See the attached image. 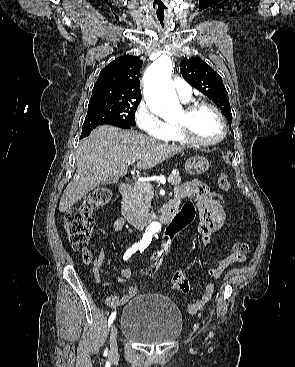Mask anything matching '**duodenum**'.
I'll return each mask as SVG.
<instances>
[{"mask_svg":"<svg viewBox=\"0 0 295 367\" xmlns=\"http://www.w3.org/2000/svg\"><path fill=\"white\" fill-rule=\"evenodd\" d=\"M131 192L129 182H123L119 186V193L122 197V215L123 217L136 226L137 228L145 227L151 220L157 219L160 222L167 224L171 219H174L179 213L180 204L177 201H171L156 215L141 214L132 209L126 202V198Z\"/></svg>","mask_w":295,"mask_h":367,"instance_id":"obj_1","label":"duodenum"}]
</instances>
